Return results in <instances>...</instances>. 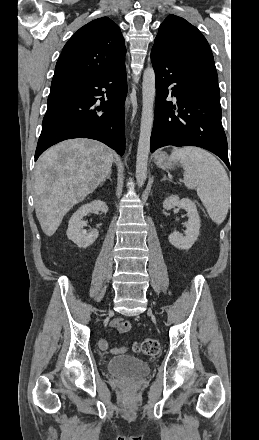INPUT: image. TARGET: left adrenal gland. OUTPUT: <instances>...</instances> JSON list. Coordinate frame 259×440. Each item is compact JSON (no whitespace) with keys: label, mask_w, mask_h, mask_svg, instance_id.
<instances>
[{"label":"left adrenal gland","mask_w":259,"mask_h":440,"mask_svg":"<svg viewBox=\"0 0 259 440\" xmlns=\"http://www.w3.org/2000/svg\"><path fill=\"white\" fill-rule=\"evenodd\" d=\"M164 180H169L165 174H163V178L161 179V181H164ZM169 181H171V180H169Z\"/></svg>","instance_id":"left-adrenal-gland-1"}]
</instances>
